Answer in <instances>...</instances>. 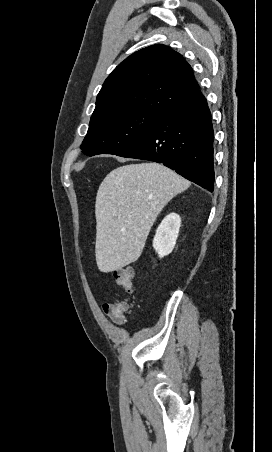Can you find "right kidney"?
Here are the masks:
<instances>
[{
	"label": "right kidney",
	"mask_w": 272,
	"mask_h": 452,
	"mask_svg": "<svg viewBox=\"0 0 272 452\" xmlns=\"http://www.w3.org/2000/svg\"><path fill=\"white\" fill-rule=\"evenodd\" d=\"M180 225V216L176 213H170L158 226L153 239V248L160 258L170 254L174 249Z\"/></svg>",
	"instance_id": "ca27d5eb"
}]
</instances>
